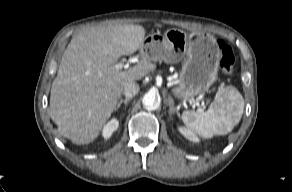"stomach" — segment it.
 <instances>
[{
	"label": "stomach",
	"instance_id": "stomach-1",
	"mask_svg": "<svg viewBox=\"0 0 292 192\" xmlns=\"http://www.w3.org/2000/svg\"><path fill=\"white\" fill-rule=\"evenodd\" d=\"M141 54L149 61L175 64L182 69L173 94L191 99L207 91L217 79L220 51L213 35L201 32L187 34L169 29L164 35L153 33L144 38Z\"/></svg>",
	"mask_w": 292,
	"mask_h": 192
}]
</instances>
